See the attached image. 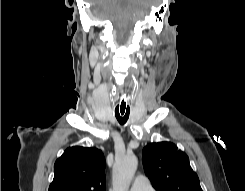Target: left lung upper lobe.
<instances>
[{"label":"left lung upper lobe","instance_id":"obj_1","mask_svg":"<svg viewBox=\"0 0 245 191\" xmlns=\"http://www.w3.org/2000/svg\"><path fill=\"white\" fill-rule=\"evenodd\" d=\"M142 161L146 175L157 191H202L189 158L170 142L144 147Z\"/></svg>","mask_w":245,"mask_h":191}]
</instances>
